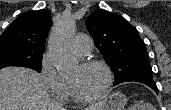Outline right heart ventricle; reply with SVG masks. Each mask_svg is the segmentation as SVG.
Segmentation results:
<instances>
[{
  "mask_svg": "<svg viewBox=\"0 0 171 110\" xmlns=\"http://www.w3.org/2000/svg\"><path fill=\"white\" fill-rule=\"evenodd\" d=\"M67 96H68V92L66 91V93H65V95H64V97H63V99H65Z\"/></svg>",
  "mask_w": 171,
  "mask_h": 110,
  "instance_id": "1",
  "label": "right heart ventricle"
}]
</instances>
